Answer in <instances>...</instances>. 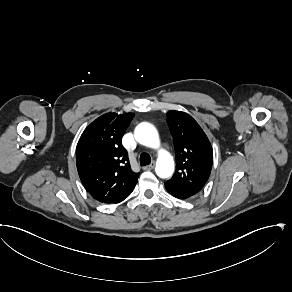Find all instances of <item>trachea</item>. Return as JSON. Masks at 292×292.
<instances>
[{
  "mask_svg": "<svg viewBox=\"0 0 292 292\" xmlns=\"http://www.w3.org/2000/svg\"><path fill=\"white\" fill-rule=\"evenodd\" d=\"M151 163V157L148 153L146 152H143L141 155H140V165L141 166H146V165H149Z\"/></svg>",
  "mask_w": 292,
  "mask_h": 292,
  "instance_id": "obj_1",
  "label": "trachea"
}]
</instances>
